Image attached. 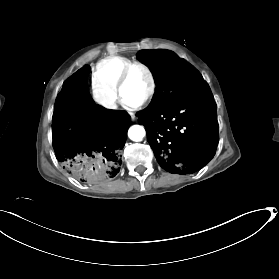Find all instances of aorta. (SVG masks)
<instances>
[{
  "mask_svg": "<svg viewBox=\"0 0 279 279\" xmlns=\"http://www.w3.org/2000/svg\"><path fill=\"white\" fill-rule=\"evenodd\" d=\"M145 134H146V131H145L144 127L141 125H133L128 130V137L132 141H136V142L142 141Z\"/></svg>",
  "mask_w": 279,
  "mask_h": 279,
  "instance_id": "aorta-1",
  "label": "aorta"
}]
</instances>
